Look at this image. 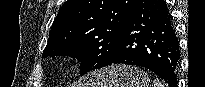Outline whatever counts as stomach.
Masks as SVG:
<instances>
[{
  "mask_svg": "<svg viewBox=\"0 0 205 87\" xmlns=\"http://www.w3.org/2000/svg\"><path fill=\"white\" fill-rule=\"evenodd\" d=\"M79 87H150V79L138 67L114 65L92 72Z\"/></svg>",
  "mask_w": 205,
  "mask_h": 87,
  "instance_id": "stomach-1",
  "label": "stomach"
}]
</instances>
